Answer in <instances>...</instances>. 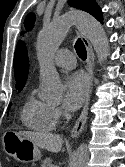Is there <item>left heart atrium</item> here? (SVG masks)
<instances>
[{
	"mask_svg": "<svg viewBox=\"0 0 125 167\" xmlns=\"http://www.w3.org/2000/svg\"><path fill=\"white\" fill-rule=\"evenodd\" d=\"M88 90L87 78L81 72L70 74L64 81L63 108L77 110L83 103Z\"/></svg>",
	"mask_w": 125,
	"mask_h": 167,
	"instance_id": "obj_1",
	"label": "left heart atrium"
}]
</instances>
